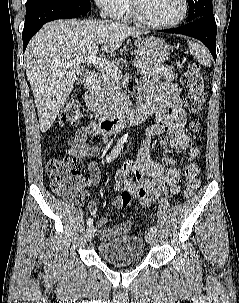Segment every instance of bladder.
<instances>
[{
	"mask_svg": "<svg viewBox=\"0 0 239 303\" xmlns=\"http://www.w3.org/2000/svg\"><path fill=\"white\" fill-rule=\"evenodd\" d=\"M99 255L114 265L138 263L144 256L143 240L133 234H122L98 245Z\"/></svg>",
	"mask_w": 239,
	"mask_h": 303,
	"instance_id": "1",
	"label": "bladder"
}]
</instances>
